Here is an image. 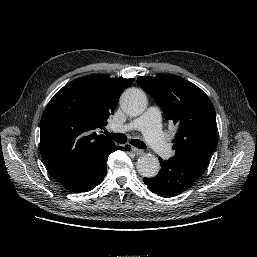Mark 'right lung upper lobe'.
Instances as JSON below:
<instances>
[{"mask_svg": "<svg viewBox=\"0 0 257 257\" xmlns=\"http://www.w3.org/2000/svg\"><path fill=\"white\" fill-rule=\"evenodd\" d=\"M133 81L84 76L53 96L41 118L40 140L43 160L55 179L115 146L95 130L107 124L121 93Z\"/></svg>", "mask_w": 257, "mask_h": 257, "instance_id": "1", "label": "right lung upper lobe"}]
</instances>
